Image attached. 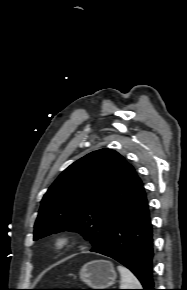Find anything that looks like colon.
Returning a JSON list of instances; mask_svg holds the SVG:
<instances>
[{"mask_svg":"<svg viewBox=\"0 0 187 290\" xmlns=\"http://www.w3.org/2000/svg\"><path fill=\"white\" fill-rule=\"evenodd\" d=\"M46 290H53V289H46ZM77 290H80V289H77Z\"/></svg>","mask_w":187,"mask_h":290,"instance_id":"5ec220e1","label":"colon"}]
</instances>
